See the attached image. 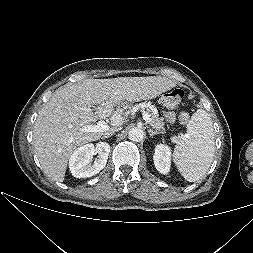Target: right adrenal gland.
I'll list each match as a JSON object with an SVG mask.
<instances>
[{
  "label": "right adrenal gland",
  "mask_w": 253,
  "mask_h": 253,
  "mask_svg": "<svg viewBox=\"0 0 253 253\" xmlns=\"http://www.w3.org/2000/svg\"><path fill=\"white\" fill-rule=\"evenodd\" d=\"M109 137H111V136H104L103 138H109Z\"/></svg>",
  "instance_id": "2a0ac1e0"
}]
</instances>
